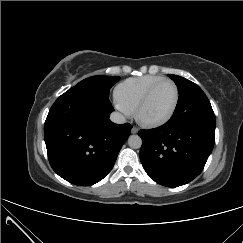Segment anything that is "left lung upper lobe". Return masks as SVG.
I'll use <instances>...</instances> for the list:
<instances>
[{
    "label": "left lung upper lobe",
    "mask_w": 243,
    "mask_h": 243,
    "mask_svg": "<svg viewBox=\"0 0 243 243\" xmlns=\"http://www.w3.org/2000/svg\"><path fill=\"white\" fill-rule=\"evenodd\" d=\"M177 85L179 98L171 119L215 126V114L211 104L201 88L188 79L177 75H168Z\"/></svg>",
    "instance_id": "1"
}]
</instances>
